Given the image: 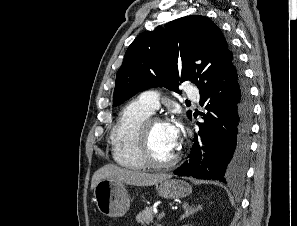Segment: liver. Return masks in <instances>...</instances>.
<instances>
[{
	"label": "liver",
	"mask_w": 297,
	"mask_h": 226,
	"mask_svg": "<svg viewBox=\"0 0 297 226\" xmlns=\"http://www.w3.org/2000/svg\"><path fill=\"white\" fill-rule=\"evenodd\" d=\"M167 178H170V175L144 173L107 164L94 173L91 181V189H94L97 183L103 179L121 181L129 185L151 186Z\"/></svg>",
	"instance_id": "liver-1"
}]
</instances>
